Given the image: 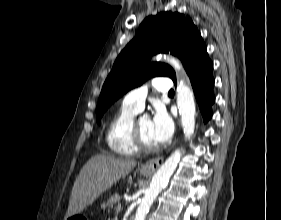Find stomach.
<instances>
[{
  "mask_svg": "<svg viewBox=\"0 0 281 220\" xmlns=\"http://www.w3.org/2000/svg\"><path fill=\"white\" fill-rule=\"evenodd\" d=\"M140 173L143 175V176H150L151 175V172H148V171H145L143 169L140 170ZM80 215H73V216H70L68 217L66 220H78V219H81L79 218Z\"/></svg>",
  "mask_w": 281,
  "mask_h": 220,
  "instance_id": "0dacf381",
  "label": "stomach"
}]
</instances>
